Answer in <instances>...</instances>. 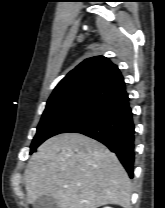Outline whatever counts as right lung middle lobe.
<instances>
[{
	"mask_svg": "<svg viewBox=\"0 0 165 208\" xmlns=\"http://www.w3.org/2000/svg\"><path fill=\"white\" fill-rule=\"evenodd\" d=\"M94 107L88 104H61L46 106L37 133L32 141L30 154L46 139L64 132L85 117Z\"/></svg>",
	"mask_w": 165,
	"mask_h": 208,
	"instance_id": "dd1d6c3e",
	"label": "right lung middle lobe"
}]
</instances>
